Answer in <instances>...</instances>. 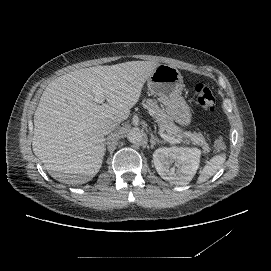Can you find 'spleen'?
I'll return each instance as SVG.
<instances>
[{
    "mask_svg": "<svg viewBox=\"0 0 271 271\" xmlns=\"http://www.w3.org/2000/svg\"><path fill=\"white\" fill-rule=\"evenodd\" d=\"M226 160V155H216L207 162L204 168L200 171V175L198 177L197 183L201 184L206 182L211 176H213L224 164Z\"/></svg>",
    "mask_w": 271,
    "mask_h": 271,
    "instance_id": "spleen-1",
    "label": "spleen"
}]
</instances>
